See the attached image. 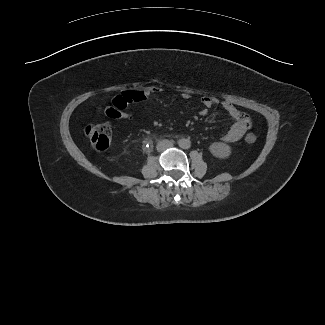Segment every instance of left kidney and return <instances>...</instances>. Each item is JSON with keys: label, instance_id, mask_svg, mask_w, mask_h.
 Instances as JSON below:
<instances>
[{"label": "left kidney", "instance_id": "left-kidney-1", "mask_svg": "<svg viewBox=\"0 0 325 325\" xmlns=\"http://www.w3.org/2000/svg\"><path fill=\"white\" fill-rule=\"evenodd\" d=\"M211 154L217 158L225 159L231 154V148L229 145L222 142H215L209 146Z\"/></svg>", "mask_w": 325, "mask_h": 325}]
</instances>
